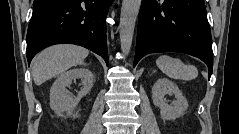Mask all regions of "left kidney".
Returning a JSON list of instances; mask_svg holds the SVG:
<instances>
[{"label": "left kidney", "instance_id": "5707ae66", "mask_svg": "<svg viewBox=\"0 0 239 134\" xmlns=\"http://www.w3.org/2000/svg\"><path fill=\"white\" fill-rule=\"evenodd\" d=\"M174 95L176 100L168 104L165 95ZM152 99L155 106L160 108L161 118L164 120H175L184 115L188 108V102L182 92L172 81L160 78L152 88Z\"/></svg>", "mask_w": 239, "mask_h": 134}]
</instances>
